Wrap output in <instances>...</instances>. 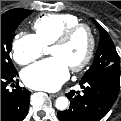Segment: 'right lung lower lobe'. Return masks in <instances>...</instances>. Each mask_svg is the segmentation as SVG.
I'll use <instances>...</instances> for the list:
<instances>
[{
    "label": "right lung lower lobe",
    "mask_w": 121,
    "mask_h": 121,
    "mask_svg": "<svg viewBox=\"0 0 121 121\" xmlns=\"http://www.w3.org/2000/svg\"><path fill=\"white\" fill-rule=\"evenodd\" d=\"M17 76V71L1 72V121H22L28 113L31 93L18 84L12 85V91L7 89Z\"/></svg>",
    "instance_id": "98d812e1"
}]
</instances>
